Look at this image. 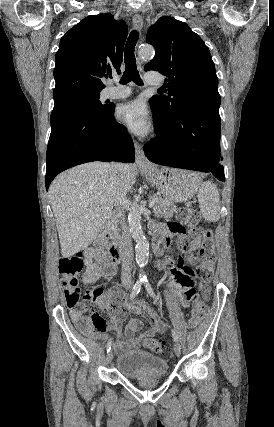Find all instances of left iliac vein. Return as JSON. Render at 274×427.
<instances>
[{
	"instance_id": "1",
	"label": "left iliac vein",
	"mask_w": 274,
	"mask_h": 427,
	"mask_svg": "<svg viewBox=\"0 0 274 427\" xmlns=\"http://www.w3.org/2000/svg\"><path fill=\"white\" fill-rule=\"evenodd\" d=\"M174 353L177 357L181 355V346L178 342H176L174 345Z\"/></svg>"
}]
</instances>
